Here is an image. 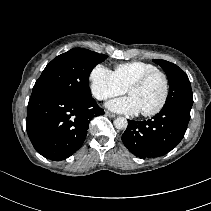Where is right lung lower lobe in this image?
<instances>
[{
    "mask_svg": "<svg viewBox=\"0 0 211 211\" xmlns=\"http://www.w3.org/2000/svg\"><path fill=\"white\" fill-rule=\"evenodd\" d=\"M102 114L103 109L93 98L77 100L52 93L32 94L26 130L39 154L61 161L82 146L90 120Z\"/></svg>",
    "mask_w": 211,
    "mask_h": 211,
    "instance_id": "obj_1",
    "label": "right lung lower lobe"
}]
</instances>
